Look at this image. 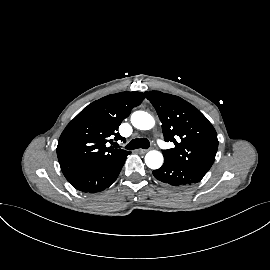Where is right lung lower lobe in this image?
I'll return each mask as SVG.
<instances>
[{
    "label": "right lung lower lobe",
    "instance_id": "98d812e1",
    "mask_svg": "<svg viewBox=\"0 0 270 270\" xmlns=\"http://www.w3.org/2000/svg\"><path fill=\"white\" fill-rule=\"evenodd\" d=\"M127 155H123L105 165L93 167L66 176L70 184L85 193L100 192L108 188L118 177Z\"/></svg>",
    "mask_w": 270,
    "mask_h": 270
}]
</instances>
